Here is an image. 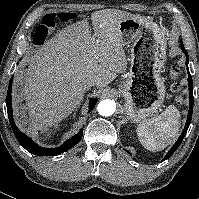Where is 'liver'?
<instances>
[{
  "mask_svg": "<svg viewBox=\"0 0 199 199\" xmlns=\"http://www.w3.org/2000/svg\"><path fill=\"white\" fill-rule=\"evenodd\" d=\"M130 13L105 9L76 22L46 41L28 57L23 93L34 130L56 126L81 102L86 82L98 88L111 83L127 69L119 23ZM96 38V39H95ZM18 117H22L16 112Z\"/></svg>",
  "mask_w": 199,
  "mask_h": 199,
  "instance_id": "6515ba94",
  "label": "liver"
}]
</instances>
